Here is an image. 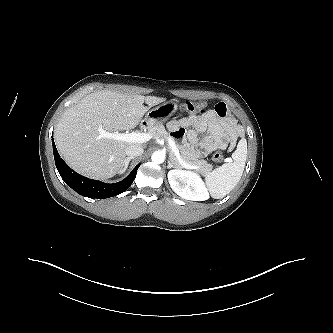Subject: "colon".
Returning a JSON list of instances; mask_svg holds the SVG:
<instances>
[{
    "instance_id": "1",
    "label": "colon",
    "mask_w": 333,
    "mask_h": 333,
    "mask_svg": "<svg viewBox=\"0 0 333 333\" xmlns=\"http://www.w3.org/2000/svg\"><path fill=\"white\" fill-rule=\"evenodd\" d=\"M205 107V102L202 101H185L181 104V109L187 112L202 111ZM213 159L216 162H221L224 159V155L221 151H217L213 155Z\"/></svg>"
}]
</instances>
